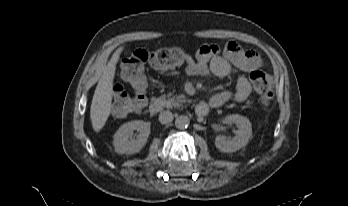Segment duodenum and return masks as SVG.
<instances>
[{
	"instance_id": "1",
	"label": "duodenum",
	"mask_w": 348,
	"mask_h": 206,
	"mask_svg": "<svg viewBox=\"0 0 348 206\" xmlns=\"http://www.w3.org/2000/svg\"><path fill=\"white\" fill-rule=\"evenodd\" d=\"M165 108V103L162 100H155L149 106L150 114H157ZM211 109L210 104L200 103L196 107V113L199 116H205L209 113Z\"/></svg>"
}]
</instances>
